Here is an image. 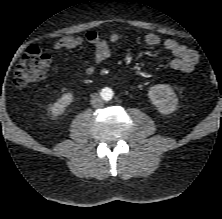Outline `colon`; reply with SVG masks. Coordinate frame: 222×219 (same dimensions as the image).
I'll use <instances>...</instances> for the list:
<instances>
[{"instance_id":"obj_1","label":"colon","mask_w":222,"mask_h":219,"mask_svg":"<svg viewBox=\"0 0 222 219\" xmlns=\"http://www.w3.org/2000/svg\"><path fill=\"white\" fill-rule=\"evenodd\" d=\"M50 65V56L37 47L28 48L21 56L13 76V82L17 87L41 81L45 78ZM212 84L216 82V75L209 73Z\"/></svg>"}]
</instances>
